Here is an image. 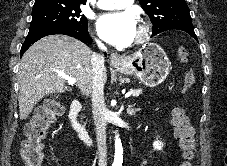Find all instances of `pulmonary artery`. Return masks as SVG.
I'll list each match as a JSON object with an SVG mask.
<instances>
[{
    "mask_svg": "<svg viewBox=\"0 0 227 166\" xmlns=\"http://www.w3.org/2000/svg\"><path fill=\"white\" fill-rule=\"evenodd\" d=\"M134 0H98L97 6L101 9L115 10L132 5Z\"/></svg>",
    "mask_w": 227,
    "mask_h": 166,
    "instance_id": "obj_1",
    "label": "pulmonary artery"
}]
</instances>
